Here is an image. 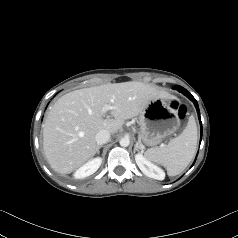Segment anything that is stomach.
I'll return each mask as SVG.
<instances>
[{"label":"stomach","mask_w":238,"mask_h":238,"mask_svg":"<svg viewBox=\"0 0 238 238\" xmlns=\"http://www.w3.org/2000/svg\"><path fill=\"white\" fill-rule=\"evenodd\" d=\"M179 116L164 98L152 99L139 114L141 140L147 146H156L179 128Z\"/></svg>","instance_id":"0dacf381"}]
</instances>
